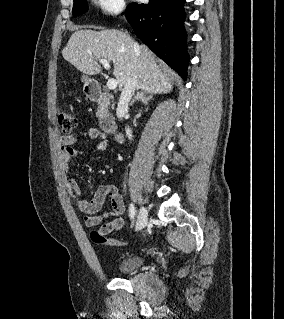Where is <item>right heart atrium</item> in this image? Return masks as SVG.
Wrapping results in <instances>:
<instances>
[{
    "label": "right heart atrium",
    "instance_id": "obj_1",
    "mask_svg": "<svg viewBox=\"0 0 284 319\" xmlns=\"http://www.w3.org/2000/svg\"><path fill=\"white\" fill-rule=\"evenodd\" d=\"M94 6L105 16H116L125 9V0H91Z\"/></svg>",
    "mask_w": 284,
    "mask_h": 319
}]
</instances>
